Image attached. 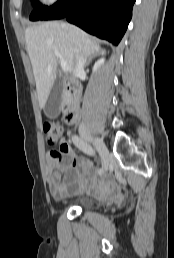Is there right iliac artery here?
Returning <instances> with one entry per match:
<instances>
[{
	"label": "right iliac artery",
	"instance_id": "1",
	"mask_svg": "<svg viewBox=\"0 0 174 258\" xmlns=\"http://www.w3.org/2000/svg\"><path fill=\"white\" fill-rule=\"evenodd\" d=\"M73 143L81 150L83 151L85 154L93 156L95 155V151L93 150V148L86 142L84 141L81 137L74 135L72 137ZM99 174L103 173V169L100 168L98 170Z\"/></svg>",
	"mask_w": 174,
	"mask_h": 258
}]
</instances>
